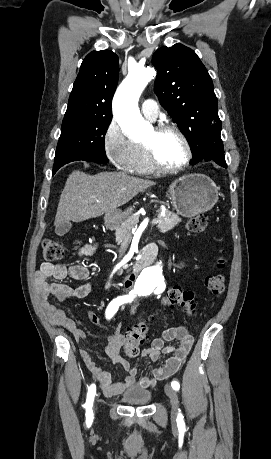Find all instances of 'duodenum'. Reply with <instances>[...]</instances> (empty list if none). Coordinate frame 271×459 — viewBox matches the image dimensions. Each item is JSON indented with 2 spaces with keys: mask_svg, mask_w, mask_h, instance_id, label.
<instances>
[{
  "mask_svg": "<svg viewBox=\"0 0 271 459\" xmlns=\"http://www.w3.org/2000/svg\"><path fill=\"white\" fill-rule=\"evenodd\" d=\"M110 223L113 224L114 223V220L111 219L110 220ZM147 264V256L144 255L140 260L137 261L135 267H134V270H133V273L132 274H136L137 272H139L145 265ZM132 279V275H128L126 277V281L128 283H130L129 281Z\"/></svg>",
  "mask_w": 271,
  "mask_h": 459,
  "instance_id": "obj_1",
  "label": "duodenum"
}]
</instances>
